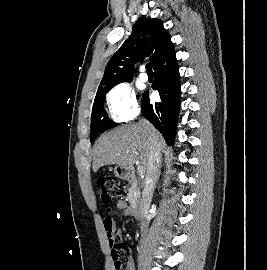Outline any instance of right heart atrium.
Instances as JSON below:
<instances>
[{"label": "right heart atrium", "mask_w": 267, "mask_h": 270, "mask_svg": "<svg viewBox=\"0 0 267 270\" xmlns=\"http://www.w3.org/2000/svg\"><path fill=\"white\" fill-rule=\"evenodd\" d=\"M106 105L111 118L118 122L129 121L139 113L135 93L127 83H118L108 91Z\"/></svg>", "instance_id": "1"}]
</instances>
